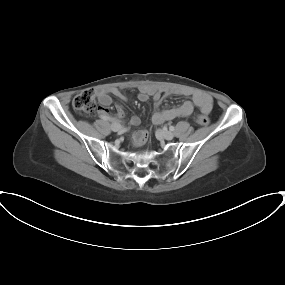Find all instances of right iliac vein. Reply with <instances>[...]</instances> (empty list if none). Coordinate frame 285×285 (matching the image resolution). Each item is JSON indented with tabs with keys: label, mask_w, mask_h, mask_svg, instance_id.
Here are the masks:
<instances>
[{
	"label": "right iliac vein",
	"mask_w": 285,
	"mask_h": 285,
	"mask_svg": "<svg viewBox=\"0 0 285 285\" xmlns=\"http://www.w3.org/2000/svg\"><path fill=\"white\" fill-rule=\"evenodd\" d=\"M111 129L114 131V132H120L122 130V126L118 123H113L111 125Z\"/></svg>",
	"instance_id": "right-iliac-vein-1"
}]
</instances>
